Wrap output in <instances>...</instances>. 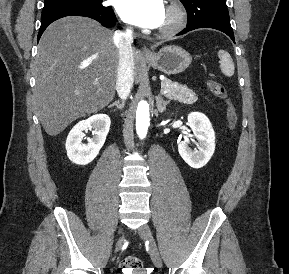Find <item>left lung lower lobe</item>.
I'll return each instance as SVG.
<instances>
[{
  "label": "left lung lower lobe",
  "instance_id": "obj_1",
  "mask_svg": "<svg viewBox=\"0 0 289 274\" xmlns=\"http://www.w3.org/2000/svg\"><path fill=\"white\" fill-rule=\"evenodd\" d=\"M198 28H213V29L222 31L225 34H227L235 43L234 33L231 28L230 22L223 21V20H206V21L194 23L192 25H187V27L179 35L185 34L191 30L198 29Z\"/></svg>",
  "mask_w": 289,
  "mask_h": 274
}]
</instances>
